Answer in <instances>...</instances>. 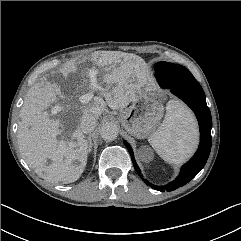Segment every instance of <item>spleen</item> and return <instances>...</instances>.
Segmentation results:
<instances>
[{
  "label": "spleen",
  "mask_w": 241,
  "mask_h": 241,
  "mask_svg": "<svg viewBox=\"0 0 241 241\" xmlns=\"http://www.w3.org/2000/svg\"><path fill=\"white\" fill-rule=\"evenodd\" d=\"M148 141L165 161L184 162L198 144V127L193 113L179 100H170L163 123Z\"/></svg>",
  "instance_id": "obj_1"
}]
</instances>
